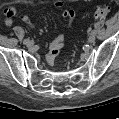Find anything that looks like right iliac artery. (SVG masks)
Here are the masks:
<instances>
[{
	"instance_id": "1",
	"label": "right iliac artery",
	"mask_w": 119,
	"mask_h": 119,
	"mask_svg": "<svg viewBox=\"0 0 119 119\" xmlns=\"http://www.w3.org/2000/svg\"><path fill=\"white\" fill-rule=\"evenodd\" d=\"M28 41H29V39H24L23 43L25 44V43L28 42Z\"/></svg>"
}]
</instances>
